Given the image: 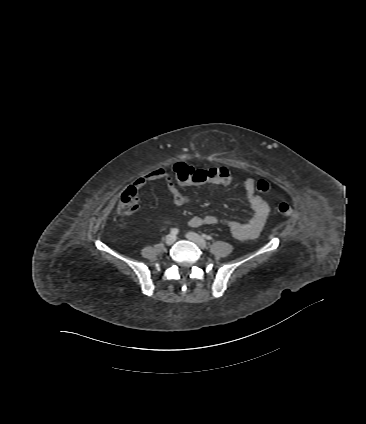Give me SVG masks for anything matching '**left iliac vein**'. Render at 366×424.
Instances as JSON below:
<instances>
[{
	"mask_svg": "<svg viewBox=\"0 0 366 424\" xmlns=\"http://www.w3.org/2000/svg\"><path fill=\"white\" fill-rule=\"evenodd\" d=\"M186 238L194 242L199 248L205 249L207 247L206 241L194 232H188Z\"/></svg>",
	"mask_w": 366,
	"mask_h": 424,
	"instance_id": "1",
	"label": "left iliac vein"
}]
</instances>
